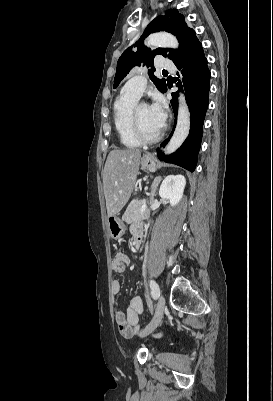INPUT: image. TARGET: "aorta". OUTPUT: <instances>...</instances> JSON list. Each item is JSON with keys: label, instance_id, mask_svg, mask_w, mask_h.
I'll list each match as a JSON object with an SVG mask.
<instances>
[{"label": "aorta", "instance_id": "aorta-1", "mask_svg": "<svg viewBox=\"0 0 273 401\" xmlns=\"http://www.w3.org/2000/svg\"><path fill=\"white\" fill-rule=\"evenodd\" d=\"M148 46L177 48L179 43L171 34L155 33L146 40ZM190 132V111L183 95L179 96L178 119L173 136L165 148V154H171L181 147Z\"/></svg>", "mask_w": 273, "mask_h": 401}]
</instances>
